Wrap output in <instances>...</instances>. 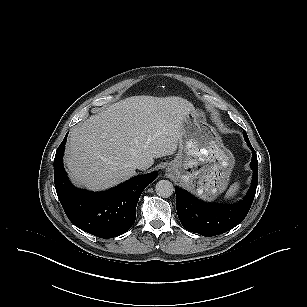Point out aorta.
<instances>
[{
	"instance_id": "aorta-1",
	"label": "aorta",
	"mask_w": 307,
	"mask_h": 307,
	"mask_svg": "<svg viewBox=\"0 0 307 307\" xmlns=\"http://www.w3.org/2000/svg\"><path fill=\"white\" fill-rule=\"evenodd\" d=\"M155 190L158 196L168 198L173 194L174 186L169 180H160L157 182Z\"/></svg>"
}]
</instances>
